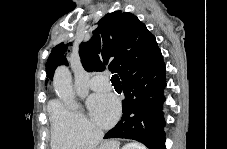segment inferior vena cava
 <instances>
[{
  "instance_id": "obj_1",
  "label": "inferior vena cava",
  "mask_w": 227,
  "mask_h": 149,
  "mask_svg": "<svg viewBox=\"0 0 227 149\" xmlns=\"http://www.w3.org/2000/svg\"><path fill=\"white\" fill-rule=\"evenodd\" d=\"M93 139H96V141H100L103 138V133L99 131H95L92 135Z\"/></svg>"
}]
</instances>
